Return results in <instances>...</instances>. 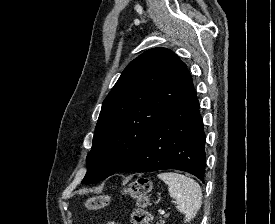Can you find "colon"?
<instances>
[{"label":"colon","instance_id":"obj_1","mask_svg":"<svg viewBox=\"0 0 275 224\" xmlns=\"http://www.w3.org/2000/svg\"><path fill=\"white\" fill-rule=\"evenodd\" d=\"M151 190L152 183L147 177H139L126 187V194L135 199L138 205V208L132 213L131 224H149L151 216L147 207L150 202ZM109 200L107 195L94 196L88 199L87 205L91 209H100L105 207Z\"/></svg>","mask_w":275,"mask_h":224}]
</instances>
